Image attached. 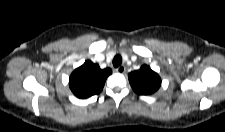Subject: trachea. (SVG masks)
Wrapping results in <instances>:
<instances>
[{
	"label": "trachea",
	"mask_w": 225,
	"mask_h": 132,
	"mask_svg": "<svg viewBox=\"0 0 225 132\" xmlns=\"http://www.w3.org/2000/svg\"><path fill=\"white\" fill-rule=\"evenodd\" d=\"M122 63V57L120 55H116L114 58H113V66L114 67H119Z\"/></svg>",
	"instance_id": "1"
}]
</instances>
